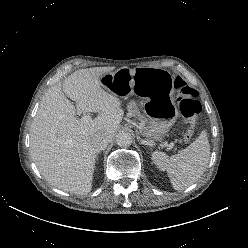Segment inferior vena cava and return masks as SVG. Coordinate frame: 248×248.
I'll return each instance as SVG.
<instances>
[{
	"instance_id": "1",
	"label": "inferior vena cava",
	"mask_w": 248,
	"mask_h": 248,
	"mask_svg": "<svg viewBox=\"0 0 248 248\" xmlns=\"http://www.w3.org/2000/svg\"><path fill=\"white\" fill-rule=\"evenodd\" d=\"M110 141L111 137L108 134L99 133L92 138V146L96 151H102L107 147Z\"/></svg>"
}]
</instances>
